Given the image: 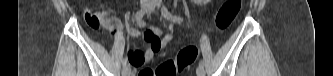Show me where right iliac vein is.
<instances>
[{"label": "right iliac vein", "mask_w": 333, "mask_h": 76, "mask_svg": "<svg viewBox=\"0 0 333 76\" xmlns=\"http://www.w3.org/2000/svg\"><path fill=\"white\" fill-rule=\"evenodd\" d=\"M143 10L145 11H148L150 9V4H145L143 7H142ZM129 73H130V69L129 67H124L123 70H122V75L123 76H129Z\"/></svg>", "instance_id": "1"}]
</instances>
